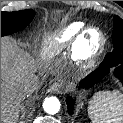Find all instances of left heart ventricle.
<instances>
[{
  "mask_svg": "<svg viewBox=\"0 0 123 123\" xmlns=\"http://www.w3.org/2000/svg\"><path fill=\"white\" fill-rule=\"evenodd\" d=\"M99 38L96 32L92 31L86 36V39L82 42L81 48L85 47L87 51H91L95 48Z\"/></svg>",
  "mask_w": 123,
  "mask_h": 123,
  "instance_id": "b2bd125f",
  "label": "left heart ventricle"
}]
</instances>
